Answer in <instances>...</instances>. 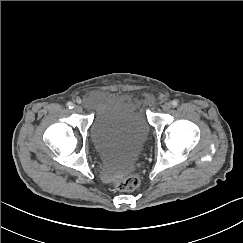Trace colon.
Here are the masks:
<instances>
[{
  "instance_id": "5ec220e1",
  "label": "colon",
  "mask_w": 243,
  "mask_h": 243,
  "mask_svg": "<svg viewBox=\"0 0 243 243\" xmlns=\"http://www.w3.org/2000/svg\"><path fill=\"white\" fill-rule=\"evenodd\" d=\"M140 183L139 176L137 174H131L128 177L120 180L116 183V188L120 191H133L135 190Z\"/></svg>"
}]
</instances>
